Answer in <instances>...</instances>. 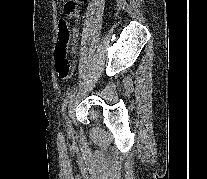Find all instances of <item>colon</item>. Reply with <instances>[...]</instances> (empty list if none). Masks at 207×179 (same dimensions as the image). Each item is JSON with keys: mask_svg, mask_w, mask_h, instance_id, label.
Listing matches in <instances>:
<instances>
[{"mask_svg": "<svg viewBox=\"0 0 207 179\" xmlns=\"http://www.w3.org/2000/svg\"><path fill=\"white\" fill-rule=\"evenodd\" d=\"M67 13L78 10V0H62ZM70 28L65 21L59 23L58 41L56 45V71L60 79H68L73 73V61L69 48Z\"/></svg>", "mask_w": 207, "mask_h": 179, "instance_id": "5ec220e1", "label": "colon"}]
</instances>
